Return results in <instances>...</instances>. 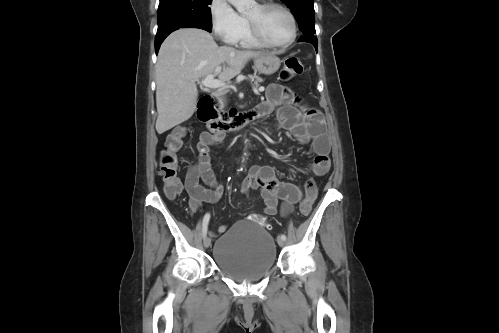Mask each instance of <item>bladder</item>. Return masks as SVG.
I'll return each mask as SVG.
<instances>
[{"mask_svg":"<svg viewBox=\"0 0 499 333\" xmlns=\"http://www.w3.org/2000/svg\"><path fill=\"white\" fill-rule=\"evenodd\" d=\"M213 259L223 273L254 281L275 267V240L261 224L240 220L216 240Z\"/></svg>","mask_w":499,"mask_h":333,"instance_id":"obj_1","label":"bladder"}]
</instances>
